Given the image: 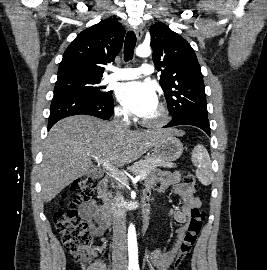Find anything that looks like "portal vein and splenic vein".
<instances>
[{
  "instance_id": "portal-vein-and-splenic-vein-1",
  "label": "portal vein and splenic vein",
  "mask_w": 267,
  "mask_h": 270,
  "mask_svg": "<svg viewBox=\"0 0 267 270\" xmlns=\"http://www.w3.org/2000/svg\"><path fill=\"white\" fill-rule=\"evenodd\" d=\"M95 160L101 164L107 171H109L112 175L120 178L121 180H123L124 182L127 181V178L126 176L124 175L123 172H121L120 170H118L115 166H113L107 159H103V160H100L98 158H95ZM146 178V175L144 174H139L138 176H136V179L137 180H140V179H145Z\"/></svg>"
}]
</instances>
